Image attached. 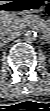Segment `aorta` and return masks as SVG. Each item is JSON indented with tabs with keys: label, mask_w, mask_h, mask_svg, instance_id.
Instances as JSON below:
<instances>
[{
	"label": "aorta",
	"mask_w": 50,
	"mask_h": 111,
	"mask_svg": "<svg viewBox=\"0 0 50 111\" xmlns=\"http://www.w3.org/2000/svg\"><path fill=\"white\" fill-rule=\"evenodd\" d=\"M36 39H37V34L34 31H27L24 34V40L28 43H33L36 41Z\"/></svg>",
	"instance_id": "aorta-1"
}]
</instances>
